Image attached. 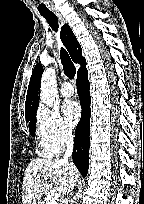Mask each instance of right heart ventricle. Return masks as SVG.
Instances as JSON below:
<instances>
[{
    "instance_id": "obj_1",
    "label": "right heart ventricle",
    "mask_w": 144,
    "mask_h": 204,
    "mask_svg": "<svg viewBox=\"0 0 144 204\" xmlns=\"http://www.w3.org/2000/svg\"><path fill=\"white\" fill-rule=\"evenodd\" d=\"M38 153L43 157H51L55 154V152L44 146L41 142L38 147Z\"/></svg>"
}]
</instances>
